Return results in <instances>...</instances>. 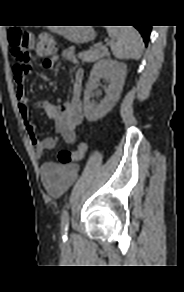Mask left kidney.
Wrapping results in <instances>:
<instances>
[{
    "label": "left kidney",
    "mask_w": 184,
    "mask_h": 292,
    "mask_svg": "<svg viewBox=\"0 0 184 292\" xmlns=\"http://www.w3.org/2000/svg\"><path fill=\"white\" fill-rule=\"evenodd\" d=\"M101 77L109 79V85L105 89L104 99L96 104L91 101V97ZM125 77L126 65L124 63L112 59H102L94 64L83 99L84 114L89 122L104 117L114 107L122 92Z\"/></svg>",
    "instance_id": "5707ae66"
}]
</instances>
